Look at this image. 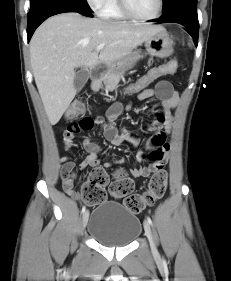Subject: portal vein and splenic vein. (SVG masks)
<instances>
[{
  "label": "portal vein and splenic vein",
  "instance_id": "1",
  "mask_svg": "<svg viewBox=\"0 0 231 281\" xmlns=\"http://www.w3.org/2000/svg\"><path fill=\"white\" fill-rule=\"evenodd\" d=\"M105 47V44H100L97 46L96 51H100L101 49H103Z\"/></svg>",
  "mask_w": 231,
  "mask_h": 281
}]
</instances>
